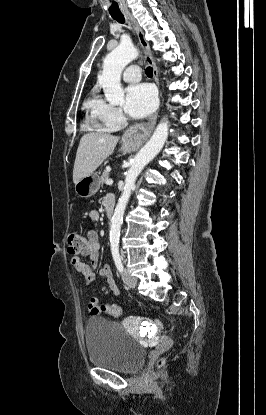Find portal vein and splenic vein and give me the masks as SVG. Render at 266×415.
I'll use <instances>...</instances> for the list:
<instances>
[{
  "mask_svg": "<svg viewBox=\"0 0 266 415\" xmlns=\"http://www.w3.org/2000/svg\"><path fill=\"white\" fill-rule=\"evenodd\" d=\"M106 184H107V185H112V184H113V180H112V179H108V180L106 181Z\"/></svg>",
  "mask_w": 266,
  "mask_h": 415,
  "instance_id": "18ae733b",
  "label": "portal vein and splenic vein"
}]
</instances>
